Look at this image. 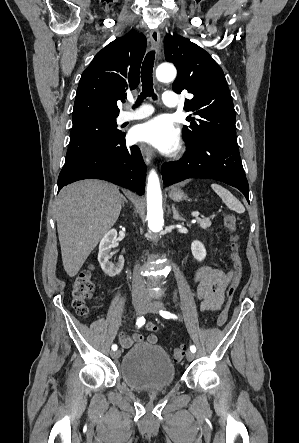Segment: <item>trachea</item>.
<instances>
[{"mask_svg": "<svg viewBox=\"0 0 299 443\" xmlns=\"http://www.w3.org/2000/svg\"><path fill=\"white\" fill-rule=\"evenodd\" d=\"M154 60H155V51L148 52L143 61L141 69L142 92L138 96L137 102L134 105V107H137L148 96H152L154 100L157 99V96L154 93L153 89Z\"/></svg>", "mask_w": 299, "mask_h": 443, "instance_id": "3493384b", "label": "trachea"}]
</instances>
